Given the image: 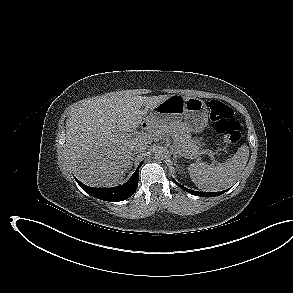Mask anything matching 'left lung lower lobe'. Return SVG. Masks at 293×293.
I'll use <instances>...</instances> for the list:
<instances>
[{
    "instance_id": "1",
    "label": "left lung lower lobe",
    "mask_w": 293,
    "mask_h": 293,
    "mask_svg": "<svg viewBox=\"0 0 293 293\" xmlns=\"http://www.w3.org/2000/svg\"><path fill=\"white\" fill-rule=\"evenodd\" d=\"M179 187H181L182 189H184L185 191L193 194V195H196V196H200V197H215V196H219L221 194H223L224 192H226L227 190H224V191H220V192H197V191H193V190H190L182 185H180L179 183L175 182Z\"/></svg>"
}]
</instances>
